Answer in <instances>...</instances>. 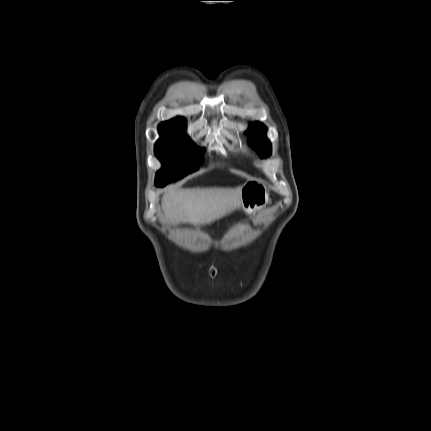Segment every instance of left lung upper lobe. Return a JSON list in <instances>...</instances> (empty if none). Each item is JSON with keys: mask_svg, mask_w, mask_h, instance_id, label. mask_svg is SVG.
Here are the masks:
<instances>
[{"mask_svg": "<svg viewBox=\"0 0 431 431\" xmlns=\"http://www.w3.org/2000/svg\"><path fill=\"white\" fill-rule=\"evenodd\" d=\"M266 131L267 128L263 124L254 122L246 132V134L249 135L248 144L255 149L262 158L271 154V143L266 137Z\"/></svg>", "mask_w": 431, "mask_h": 431, "instance_id": "5c2ea615", "label": "left lung upper lobe"}]
</instances>
